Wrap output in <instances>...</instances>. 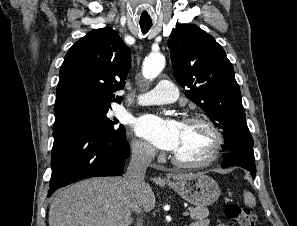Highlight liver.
I'll use <instances>...</instances> for the list:
<instances>
[{
    "label": "liver",
    "mask_w": 297,
    "mask_h": 226,
    "mask_svg": "<svg viewBox=\"0 0 297 226\" xmlns=\"http://www.w3.org/2000/svg\"><path fill=\"white\" fill-rule=\"evenodd\" d=\"M189 175H173V179L181 180ZM140 197L142 210L151 211L156 199L149 184L144 185ZM131 211L122 177L91 178L55 197L49 210V226H129L133 222Z\"/></svg>",
    "instance_id": "liver-1"
}]
</instances>
